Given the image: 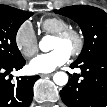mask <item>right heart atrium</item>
Instances as JSON below:
<instances>
[{
  "label": "right heart atrium",
  "mask_w": 107,
  "mask_h": 107,
  "mask_svg": "<svg viewBox=\"0 0 107 107\" xmlns=\"http://www.w3.org/2000/svg\"><path fill=\"white\" fill-rule=\"evenodd\" d=\"M15 43L18 50L25 57H32L38 51V38L30 22H24L17 29Z\"/></svg>",
  "instance_id": "d8ad5b80"
}]
</instances>
